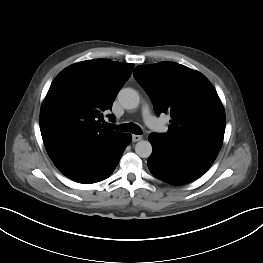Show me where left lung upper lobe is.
Instances as JSON below:
<instances>
[{"instance_id":"obj_1","label":"left lung upper lobe","mask_w":263,"mask_h":263,"mask_svg":"<svg viewBox=\"0 0 263 263\" xmlns=\"http://www.w3.org/2000/svg\"><path fill=\"white\" fill-rule=\"evenodd\" d=\"M133 75L150 96L157 114L170 113L166 134L222 145L224 109L204 75L170 61L137 66Z\"/></svg>"}]
</instances>
